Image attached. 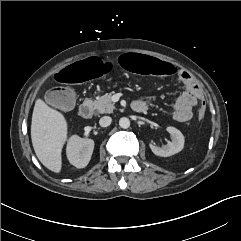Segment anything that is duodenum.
Instances as JSON below:
<instances>
[{
  "mask_svg": "<svg viewBox=\"0 0 241 241\" xmlns=\"http://www.w3.org/2000/svg\"><path fill=\"white\" fill-rule=\"evenodd\" d=\"M131 108L136 113H144L147 107L138 101L132 103ZM79 115L84 119H89L92 116V105L89 102H83L79 107Z\"/></svg>",
  "mask_w": 241,
  "mask_h": 241,
  "instance_id": "obj_1",
  "label": "duodenum"
}]
</instances>
